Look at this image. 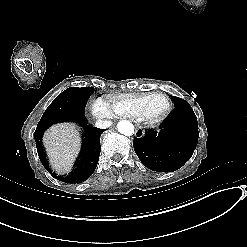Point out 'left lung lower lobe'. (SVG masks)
Masks as SVG:
<instances>
[{
	"label": "left lung lower lobe",
	"mask_w": 247,
	"mask_h": 247,
	"mask_svg": "<svg viewBox=\"0 0 247 247\" xmlns=\"http://www.w3.org/2000/svg\"><path fill=\"white\" fill-rule=\"evenodd\" d=\"M160 132H138L133 141L141 163L158 172L181 168L193 155L198 142L197 117L190 106L175 108L164 121Z\"/></svg>",
	"instance_id": "0a47b994"
}]
</instances>
